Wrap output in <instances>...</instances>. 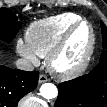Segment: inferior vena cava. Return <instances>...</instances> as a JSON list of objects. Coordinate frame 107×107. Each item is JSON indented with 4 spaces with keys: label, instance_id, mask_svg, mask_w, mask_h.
<instances>
[{
    "label": "inferior vena cava",
    "instance_id": "1",
    "mask_svg": "<svg viewBox=\"0 0 107 107\" xmlns=\"http://www.w3.org/2000/svg\"><path fill=\"white\" fill-rule=\"evenodd\" d=\"M16 67L24 71H33L34 67L31 62L26 59L20 58L16 60Z\"/></svg>",
    "mask_w": 107,
    "mask_h": 107
}]
</instances>
